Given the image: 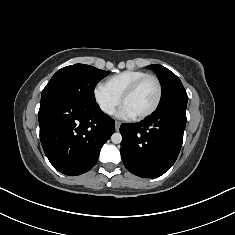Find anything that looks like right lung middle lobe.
I'll list each match as a JSON object with an SVG mask.
<instances>
[{
	"label": "right lung middle lobe",
	"instance_id": "1",
	"mask_svg": "<svg viewBox=\"0 0 235 235\" xmlns=\"http://www.w3.org/2000/svg\"><path fill=\"white\" fill-rule=\"evenodd\" d=\"M108 72L90 65L75 64L57 71L42 91L41 102L63 99L94 104V88Z\"/></svg>",
	"mask_w": 235,
	"mask_h": 235
}]
</instances>
